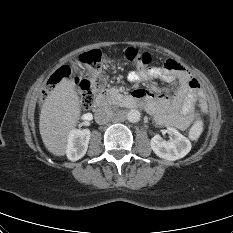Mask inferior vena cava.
<instances>
[{
  "label": "inferior vena cava",
  "mask_w": 233,
  "mask_h": 233,
  "mask_svg": "<svg viewBox=\"0 0 233 233\" xmlns=\"http://www.w3.org/2000/svg\"><path fill=\"white\" fill-rule=\"evenodd\" d=\"M114 116L113 110L111 107L105 105L99 107L95 112V121L99 124H106L108 123L112 117Z\"/></svg>",
  "instance_id": "1"
}]
</instances>
